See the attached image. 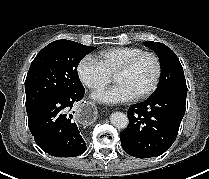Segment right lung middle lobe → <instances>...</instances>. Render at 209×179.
Masks as SVG:
<instances>
[{
    "mask_svg": "<svg viewBox=\"0 0 209 179\" xmlns=\"http://www.w3.org/2000/svg\"><path fill=\"white\" fill-rule=\"evenodd\" d=\"M94 49L69 40L44 47L32 61L25 80L27 114L52 97L82 91L77 66Z\"/></svg>",
    "mask_w": 209,
    "mask_h": 179,
    "instance_id": "obj_1",
    "label": "right lung middle lobe"
}]
</instances>
